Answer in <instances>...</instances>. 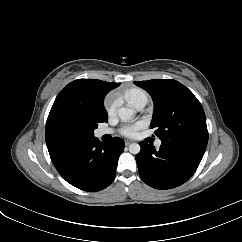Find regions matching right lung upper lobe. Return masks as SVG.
I'll list each match as a JSON object with an SVG mask.
<instances>
[{"label":"right lung upper lobe","instance_id":"right-lung-upper-lobe-1","mask_svg":"<svg viewBox=\"0 0 242 242\" xmlns=\"http://www.w3.org/2000/svg\"><path fill=\"white\" fill-rule=\"evenodd\" d=\"M119 85L94 79H78L66 85L56 97L46 122L49 153L75 140L92 137V126L108 121L105 95Z\"/></svg>","mask_w":242,"mask_h":242}]
</instances>
